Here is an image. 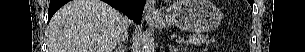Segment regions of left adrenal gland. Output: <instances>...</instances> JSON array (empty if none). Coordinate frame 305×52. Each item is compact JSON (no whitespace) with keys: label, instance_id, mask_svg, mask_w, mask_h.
Instances as JSON below:
<instances>
[{"label":"left adrenal gland","instance_id":"a2214340","mask_svg":"<svg viewBox=\"0 0 305 52\" xmlns=\"http://www.w3.org/2000/svg\"><path fill=\"white\" fill-rule=\"evenodd\" d=\"M170 52H179L180 47H175L174 45H169Z\"/></svg>","mask_w":305,"mask_h":52}]
</instances>
